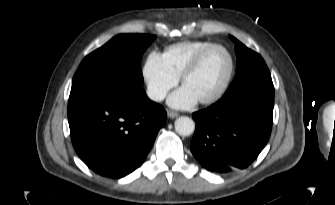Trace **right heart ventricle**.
Masks as SVG:
<instances>
[{
    "mask_svg": "<svg viewBox=\"0 0 335 205\" xmlns=\"http://www.w3.org/2000/svg\"><path fill=\"white\" fill-rule=\"evenodd\" d=\"M213 44L210 41H182L166 47L162 58L168 68L178 77L193 60V58L204 48Z\"/></svg>",
    "mask_w": 335,
    "mask_h": 205,
    "instance_id": "e07e8e85",
    "label": "right heart ventricle"
}]
</instances>
